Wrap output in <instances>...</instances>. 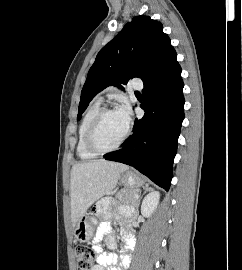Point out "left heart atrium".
I'll return each mask as SVG.
<instances>
[{
	"mask_svg": "<svg viewBox=\"0 0 242 270\" xmlns=\"http://www.w3.org/2000/svg\"><path fill=\"white\" fill-rule=\"evenodd\" d=\"M122 117L126 126H129L131 121V110L127 104H123L117 111Z\"/></svg>",
	"mask_w": 242,
	"mask_h": 270,
	"instance_id": "39dd6f15",
	"label": "left heart atrium"
}]
</instances>
